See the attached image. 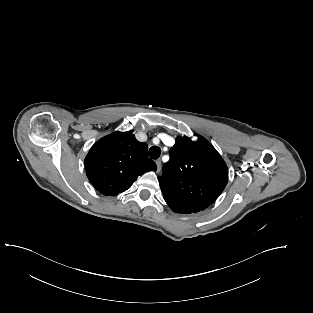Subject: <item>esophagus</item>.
Listing matches in <instances>:
<instances>
[{"instance_id": "esophagus-1", "label": "esophagus", "mask_w": 313, "mask_h": 313, "mask_svg": "<svg viewBox=\"0 0 313 313\" xmlns=\"http://www.w3.org/2000/svg\"><path fill=\"white\" fill-rule=\"evenodd\" d=\"M156 165H157V172H160V170H161V160L160 159L156 160Z\"/></svg>"}]
</instances>
